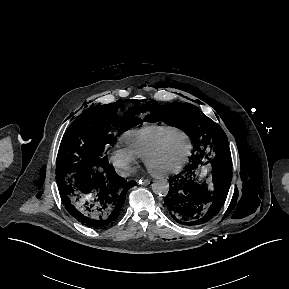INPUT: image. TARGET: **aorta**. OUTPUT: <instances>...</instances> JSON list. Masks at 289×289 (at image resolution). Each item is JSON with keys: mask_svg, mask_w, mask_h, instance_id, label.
Instances as JSON below:
<instances>
[{"mask_svg": "<svg viewBox=\"0 0 289 289\" xmlns=\"http://www.w3.org/2000/svg\"><path fill=\"white\" fill-rule=\"evenodd\" d=\"M152 191L159 196H166L169 192V182L166 179H160L152 183Z\"/></svg>", "mask_w": 289, "mask_h": 289, "instance_id": "obj_1", "label": "aorta"}]
</instances>
